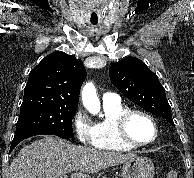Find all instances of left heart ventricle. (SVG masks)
<instances>
[{
    "label": "left heart ventricle",
    "mask_w": 194,
    "mask_h": 178,
    "mask_svg": "<svg viewBox=\"0 0 194 178\" xmlns=\"http://www.w3.org/2000/svg\"><path fill=\"white\" fill-rule=\"evenodd\" d=\"M127 130L132 139L137 142H149L155 131L152 123L141 115H133L128 121Z\"/></svg>",
    "instance_id": "b2bd125f"
}]
</instances>
